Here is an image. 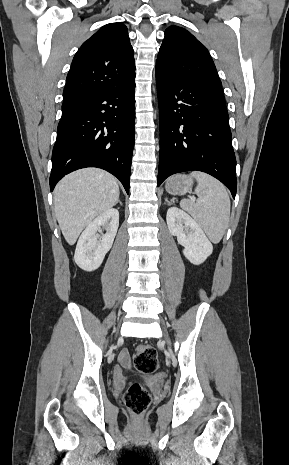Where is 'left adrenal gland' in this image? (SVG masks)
<instances>
[{
  "label": "left adrenal gland",
  "mask_w": 289,
  "mask_h": 465,
  "mask_svg": "<svg viewBox=\"0 0 289 465\" xmlns=\"http://www.w3.org/2000/svg\"><path fill=\"white\" fill-rule=\"evenodd\" d=\"M165 202L169 205L171 204V202L167 198H165Z\"/></svg>",
  "instance_id": "obj_1"
}]
</instances>
